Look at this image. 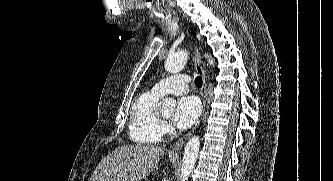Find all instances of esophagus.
<instances>
[{
  "mask_svg": "<svg viewBox=\"0 0 333 181\" xmlns=\"http://www.w3.org/2000/svg\"><path fill=\"white\" fill-rule=\"evenodd\" d=\"M194 66L199 75H201L202 80H203V85L201 88V97H202V106H203V111L205 110L206 107V102H207V77H206V72L205 69L202 65L201 61V56H200V49L198 45L195 47V53H194ZM199 125V121L196 122V124L193 126V128L183 137L178 139L173 146L171 147L172 152H177L182 149L184 146L185 142L188 140V138L193 134V132L196 130V128Z\"/></svg>",
  "mask_w": 333,
  "mask_h": 181,
  "instance_id": "esophagus-1",
  "label": "esophagus"
}]
</instances>
